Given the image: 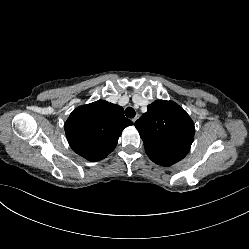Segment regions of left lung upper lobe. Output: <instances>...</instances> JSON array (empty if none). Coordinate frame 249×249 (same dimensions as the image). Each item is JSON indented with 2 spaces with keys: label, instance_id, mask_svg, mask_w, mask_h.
<instances>
[{
  "label": "left lung upper lobe",
  "instance_id": "left-lung-upper-lobe-1",
  "mask_svg": "<svg viewBox=\"0 0 249 249\" xmlns=\"http://www.w3.org/2000/svg\"><path fill=\"white\" fill-rule=\"evenodd\" d=\"M136 122L146 154L158 165L171 166L190 150L195 127L192 119L173 101L157 100Z\"/></svg>",
  "mask_w": 249,
  "mask_h": 249
}]
</instances>
